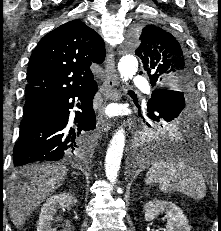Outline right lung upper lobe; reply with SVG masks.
<instances>
[{"label": "right lung upper lobe", "mask_w": 221, "mask_h": 231, "mask_svg": "<svg viewBox=\"0 0 221 231\" xmlns=\"http://www.w3.org/2000/svg\"><path fill=\"white\" fill-rule=\"evenodd\" d=\"M105 59L101 37L80 20L69 21L46 34L30 56L26 101L95 83L92 63Z\"/></svg>", "instance_id": "obj_1"}]
</instances>
